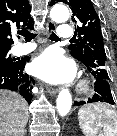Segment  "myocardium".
Wrapping results in <instances>:
<instances>
[{"label":"myocardium","instance_id":"obj_1","mask_svg":"<svg viewBox=\"0 0 117 136\" xmlns=\"http://www.w3.org/2000/svg\"><path fill=\"white\" fill-rule=\"evenodd\" d=\"M90 89L89 82L86 80H81L78 84L77 91L79 93H87Z\"/></svg>","mask_w":117,"mask_h":136}]
</instances>
